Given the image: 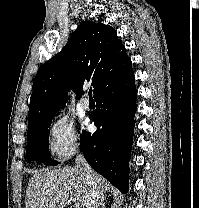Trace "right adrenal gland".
I'll return each instance as SVG.
<instances>
[{"label":"right adrenal gland","instance_id":"right-adrenal-gland-1","mask_svg":"<svg viewBox=\"0 0 199 208\" xmlns=\"http://www.w3.org/2000/svg\"><path fill=\"white\" fill-rule=\"evenodd\" d=\"M102 208H105V204H102Z\"/></svg>","mask_w":199,"mask_h":208}]
</instances>
